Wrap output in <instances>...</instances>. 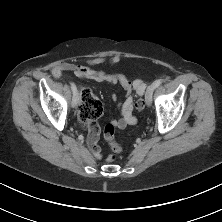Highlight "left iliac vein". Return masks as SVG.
<instances>
[{
  "label": "left iliac vein",
  "instance_id": "obj_1",
  "mask_svg": "<svg viewBox=\"0 0 222 222\" xmlns=\"http://www.w3.org/2000/svg\"><path fill=\"white\" fill-rule=\"evenodd\" d=\"M153 91H154V88L152 84L147 88L146 93H145V102L147 106H150L152 104Z\"/></svg>",
  "mask_w": 222,
  "mask_h": 222
}]
</instances>
